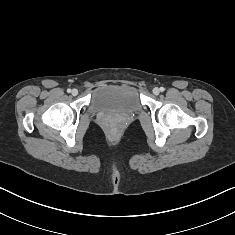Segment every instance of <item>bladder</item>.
Segmentation results:
<instances>
[{"instance_id": "1", "label": "bladder", "mask_w": 235, "mask_h": 235, "mask_svg": "<svg viewBox=\"0 0 235 235\" xmlns=\"http://www.w3.org/2000/svg\"><path fill=\"white\" fill-rule=\"evenodd\" d=\"M90 110L94 114L130 115L141 110V103L132 87L108 85L93 93Z\"/></svg>"}]
</instances>
